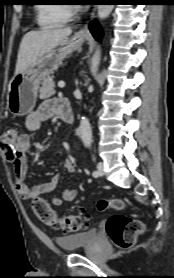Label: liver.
Instances as JSON below:
<instances>
[{"label": "liver", "instance_id": "obj_1", "mask_svg": "<svg viewBox=\"0 0 174 278\" xmlns=\"http://www.w3.org/2000/svg\"><path fill=\"white\" fill-rule=\"evenodd\" d=\"M71 33L70 27L26 33L19 46L15 75L24 71L37 58L57 47Z\"/></svg>", "mask_w": 174, "mask_h": 278}]
</instances>
